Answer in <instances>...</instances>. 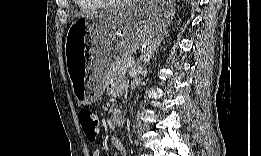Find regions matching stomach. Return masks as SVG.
Masks as SVG:
<instances>
[{"label":"stomach","instance_id":"1","mask_svg":"<svg viewBox=\"0 0 261 156\" xmlns=\"http://www.w3.org/2000/svg\"><path fill=\"white\" fill-rule=\"evenodd\" d=\"M170 2H133L123 9L77 19L70 26L65 55L72 90L80 104H91L105 87L106 67L118 54H130L170 23ZM90 46V62L81 66L74 55Z\"/></svg>","mask_w":261,"mask_h":156}]
</instances>
